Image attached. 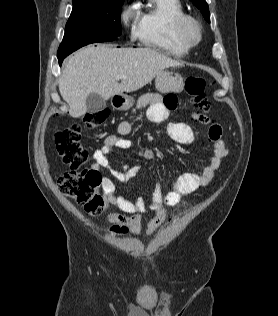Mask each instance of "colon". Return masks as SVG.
<instances>
[{
    "label": "colon",
    "mask_w": 278,
    "mask_h": 316,
    "mask_svg": "<svg viewBox=\"0 0 278 316\" xmlns=\"http://www.w3.org/2000/svg\"><path fill=\"white\" fill-rule=\"evenodd\" d=\"M206 81L199 77H189L185 81V91L190 102L203 112L209 111V101L205 95ZM107 118L105 111L88 113L82 124L73 123L58 130L54 135L57 152L68 170L57 179L60 191L83 205L92 215H100L104 208V199L100 191L102 177L99 172L86 169L91 153L82 143L83 128L99 127Z\"/></svg>",
    "instance_id": "5ec220e1"
}]
</instances>
